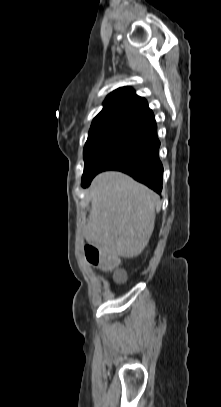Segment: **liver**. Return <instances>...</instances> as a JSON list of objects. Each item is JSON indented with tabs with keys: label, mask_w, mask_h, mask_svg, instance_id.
<instances>
[{
	"label": "liver",
	"mask_w": 221,
	"mask_h": 407,
	"mask_svg": "<svg viewBox=\"0 0 221 407\" xmlns=\"http://www.w3.org/2000/svg\"><path fill=\"white\" fill-rule=\"evenodd\" d=\"M91 213L85 239L110 257L133 258L148 245L159 196L116 171L97 175L89 188Z\"/></svg>",
	"instance_id": "liver-1"
}]
</instances>
